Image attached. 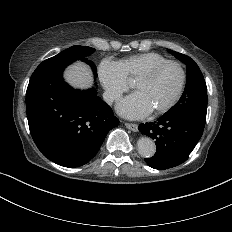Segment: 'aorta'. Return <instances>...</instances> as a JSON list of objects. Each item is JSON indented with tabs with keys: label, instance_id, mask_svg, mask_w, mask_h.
Listing matches in <instances>:
<instances>
[{
	"label": "aorta",
	"instance_id": "762f6f07",
	"mask_svg": "<svg viewBox=\"0 0 232 232\" xmlns=\"http://www.w3.org/2000/svg\"><path fill=\"white\" fill-rule=\"evenodd\" d=\"M138 153L145 158L152 157L156 152V146L149 137H141L137 142Z\"/></svg>",
	"mask_w": 232,
	"mask_h": 232
}]
</instances>
